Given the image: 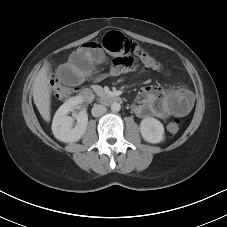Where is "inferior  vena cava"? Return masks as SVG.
<instances>
[{
  "label": "inferior vena cava",
  "instance_id": "inferior-vena-cava-1",
  "mask_svg": "<svg viewBox=\"0 0 227 227\" xmlns=\"http://www.w3.org/2000/svg\"><path fill=\"white\" fill-rule=\"evenodd\" d=\"M106 111H107V108L105 106L96 104L92 108L91 113L94 117H99L105 114Z\"/></svg>",
  "mask_w": 227,
  "mask_h": 227
}]
</instances>
